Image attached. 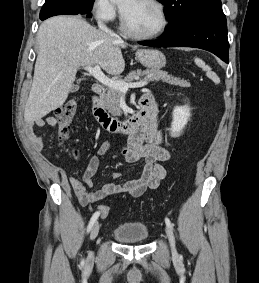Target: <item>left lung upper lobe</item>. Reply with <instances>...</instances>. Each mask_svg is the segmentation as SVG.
<instances>
[{"label":"left lung upper lobe","instance_id":"left-lung-upper-lobe-1","mask_svg":"<svg viewBox=\"0 0 259 283\" xmlns=\"http://www.w3.org/2000/svg\"><path fill=\"white\" fill-rule=\"evenodd\" d=\"M165 5V16L169 20L166 30L177 28L195 16L221 6V0H158Z\"/></svg>","mask_w":259,"mask_h":283}]
</instances>
